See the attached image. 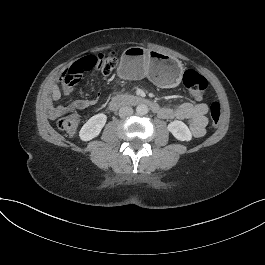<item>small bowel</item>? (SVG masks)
I'll return each mask as SVG.
<instances>
[{"label":"small bowel","instance_id":"small-bowel-1","mask_svg":"<svg viewBox=\"0 0 265 265\" xmlns=\"http://www.w3.org/2000/svg\"><path fill=\"white\" fill-rule=\"evenodd\" d=\"M72 88H64V93L69 95ZM61 96L60 90L54 86L51 91L53 100H58ZM96 103L94 99H77L71 101L67 106L52 107L50 115L52 117H59L73 109H86ZM208 106L205 103H190L184 102L173 107H163V112L160 115L163 119L176 120H190V131L196 138L205 135L206 125L208 123L206 114Z\"/></svg>","mask_w":265,"mask_h":265}]
</instances>
